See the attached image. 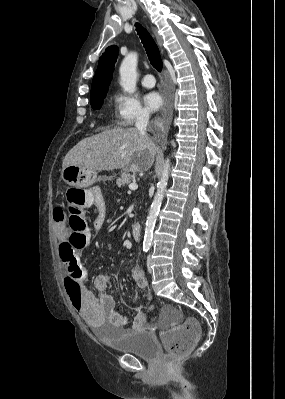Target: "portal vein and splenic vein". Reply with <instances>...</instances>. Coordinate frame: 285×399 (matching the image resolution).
I'll return each instance as SVG.
<instances>
[{
  "label": "portal vein and splenic vein",
  "instance_id": "obj_1",
  "mask_svg": "<svg viewBox=\"0 0 285 399\" xmlns=\"http://www.w3.org/2000/svg\"><path fill=\"white\" fill-rule=\"evenodd\" d=\"M129 189L132 190V191L138 189L137 183L136 182L130 183L129 184Z\"/></svg>",
  "mask_w": 285,
  "mask_h": 399
}]
</instances>
